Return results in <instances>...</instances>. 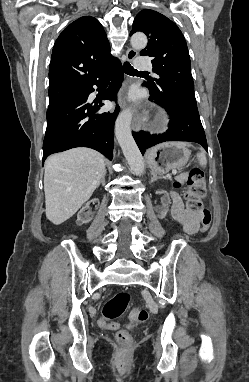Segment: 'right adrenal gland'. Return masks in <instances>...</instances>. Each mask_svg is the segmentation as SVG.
<instances>
[{
  "instance_id": "obj_1",
  "label": "right adrenal gland",
  "mask_w": 249,
  "mask_h": 382,
  "mask_svg": "<svg viewBox=\"0 0 249 382\" xmlns=\"http://www.w3.org/2000/svg\"><path fill=\"white\" fill-rule=\"evenodd\" d=\"M105 175H106V171L105 173L103 174L101 180L99 181V183L97 184V187H99V185L102 183L103 185H105Z\"/></svg>"
}]
</instances>
